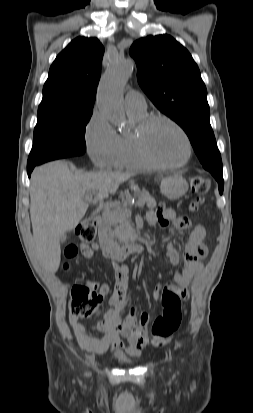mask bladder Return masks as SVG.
Wrapping results in <instances>:
<instances>
[{
	"instance_id": "31cf9c89",
	"label": "bladder",
	"mask_w": 253,
	"mask_h": 413,
	"mask_svg": "<svg viewBox=\"0 0 253 413\" xmlns=\"http://www.w3.org/2000/svg\"><path fill=\"white\" fill-rule=\"evenodd\" d=\"M118 361L123 363V364H129L131 363V360L125 356H118L117 357Z\"/></svg>"
}]
</instances>
